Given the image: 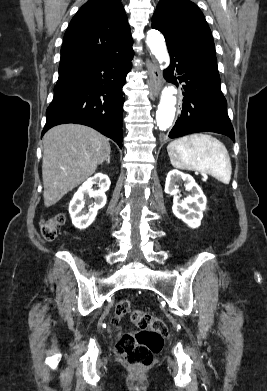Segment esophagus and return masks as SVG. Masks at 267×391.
<instances>
[{
    "label": "esophagus",
    "instance_id": "obj_1",
    "mask_svg": "<svg viewBox=\"0 0 267 391\" xmlns=\"http://www.w3.org/2000/svg\"><path fill=\"white\" fill-rule=\"evenodd\" d=\"M147 68L149 72V86L151 92L157 96L163 85L160 70L156 64L149 60L147 61Z\"/></svg>",
    "mask_w": 267,
    "mask_h": 391
}]
</instances>
